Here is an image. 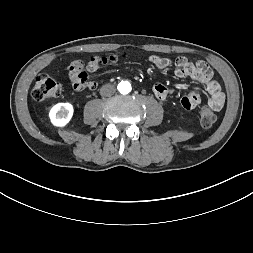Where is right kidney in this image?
<instances>
[{
	"label": "right kidney",
	"mask_w": 253,
	"mask_h": 253,
	"mask_svg": "<svg viewBox=\"0 0 253 253\" xmlns=\"http://www.w3.org/2000/svg\"><path fill=\"white\" fill-rule=\"evenodd\" d=\"M73 111L72 104L58 103L51 108L49 117L53 125L63 127L71 120Z\"/></svg>",
	"instance_id": "right-kidney-1"
}]
</instances>
